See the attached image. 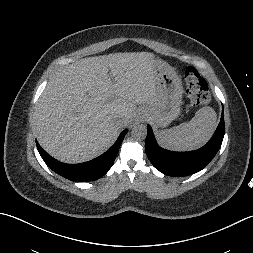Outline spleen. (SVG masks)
Listing matches in <instances>:
<instances>
[{
  "instance_id": "spleen-1",
  "label": "spleen",
  "mask_w": 253,
  "mask_h": 253,
  "mask_svg": "<svg viewBox=\"0 0 253 253\" xmlns=\"http://www.w3.org/2000/svg\"><path fill=\"white\" fill-rule=\"evenodd\" d=\"M217 125V115L212 107L199 109L188 122L157 133L159 143L172 151H191L203 146Z\"/></svg>"
}]
</instances>
